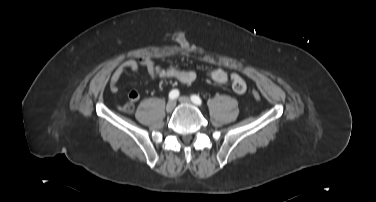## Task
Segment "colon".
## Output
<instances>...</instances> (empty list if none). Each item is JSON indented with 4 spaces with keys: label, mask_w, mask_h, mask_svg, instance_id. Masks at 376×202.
Segmentation results:
<instances>
[{
    "label": "colon",
    "mask_w": 376,
    "mask_h": 202,
    "mask_svg": "<svg viewBox=\"0 0 376 202\" xmlns=\"http://www.w3.org/2000/svg\"><path fill=\"white\" fill-rule=\"evenodd\" d=\"M253 96H254V98H255L256 100L260 99V95H259L258 92H254V93H253ZM124 110H125L126 112L130 113V112H132V110H133V106H132L131 104H127V105L125 106Z\"/></svg>",
    "instance_id": "obj_1"
}]
</instances>
